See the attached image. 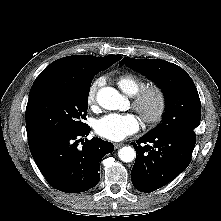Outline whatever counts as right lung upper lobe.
<instances>
[{"label": "right lung upper lobe", "instance_id": "cb5924a9", "mask_svg": "<svg viewBox=\"0 0 221 221\" xmlns=\"http://www.w3.org/2000/svg\"><path fill=\"white\" fill-rule=\"evenodd\" d=\"M122 56L109 55L105 57H95L92 55H75L60 58L48 65L37 77H54L63 80L81 82L86 80L94 70L104 64H114Z\"/></svg>", "mask_w": 221, "mask_h": 221}]
</instances>
